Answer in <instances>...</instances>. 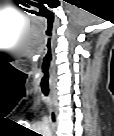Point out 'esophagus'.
Segmentation results:
<instances>
[{"mask_svg":"<svg viewBox=\"0 0 114 136\" xmlns=\"http://www.w3.org/2000/svg\"><path fill=\"white\" fill-rule=\"evenodd\" d=\"M49 119H50L51 132L54 133L58 126V113L56 106V95L53 89L50 90Z\"/></svg>","mask_w":114,"mask_h":136,"instance_id":"34e87169","label":"esophagus"}]
</instances>
